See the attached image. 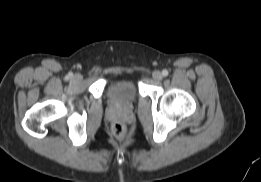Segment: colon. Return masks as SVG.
Here are the masks:
<instances>
[{"label": "colon", "mask_w": 261, "mask_h": 182, "mask_svg": "<svg viewBox=\"0 0 261 182\" xmlns=\"http://www.w3.org/2000/svg\"><path fill=\"white\" fill-rule=\"evenodd\" d=\"M112 130L117 138L124 139L127 136V128L123 123H115Z\"/></svg>", "instance_id": "obj_1"}]
</instances>
